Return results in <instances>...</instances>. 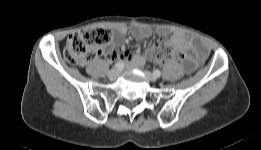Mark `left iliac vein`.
Listing matches in <instances>:
<instances>
[{"mask_svg":"<svg viewBox=\"0 0 261 150\" xmlns=\"http://www.w3.org/2000/svg\"><path fill=\"white\" fill-rule=\"evenodd\" d=\"M144 73L150 81L155 82L157 80V77L152 73H150L149 71L145 70Z\"/></svg>","mask_w":261,"mask_h":150,"instance_id":"left-iliac-vein-1","label":"left iliac vein"}]
</instances>
